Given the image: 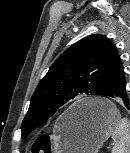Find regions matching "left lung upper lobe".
I'll list each match as a JSON object with an SVG mask.
<instances>
[{"label": "left lung upper lobe", "mask_w": 130, "mask_h": 153, "mask_svg": "<svg viewBox=\"0 0 130 153\" xmlns=\"http://www.w3.org/2000/svg\"><path fill=\"white\" fill-rule=\"evenodd\" d=\"M115 45L103 35L87 36L62 53L39 82L22 122V137L81 94L100 95L118 58Z\"/></svg>", "instance_id": "1"}]
</instances>
